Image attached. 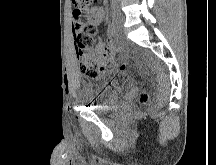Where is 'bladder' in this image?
<instances>
[{
	"mask_svg": "<svg viewBox=\"0 0 216 165\" xmlns=\"http://www.w3.org/2000/svg\"><path fill=\"white\" fill-rule=\"evenodd\" d=\"M120 81L122 76H95V81H87L86 100H94L90 101L94 111H109L116 97L122 96Z\"/></svg>",
	"mask_w": 216,
	"mask_h": 165,
	"instance_id": "obj_1",
	"label": "bladder"
}]
</instances>
